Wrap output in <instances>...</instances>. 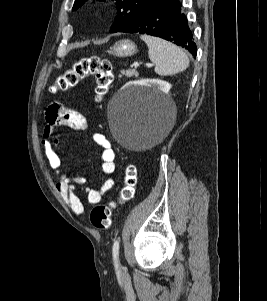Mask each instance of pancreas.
I'll return each mask as SVG.
<instances>
[{"label":"pancreas","instance_id":"obj_1","mask_svg":"<svg viewBox=\"0 0 267 301\" xmlns=\"http://www.w3.org/2000/svg\"><path fill=\"white\" fill-rule=\"evenodd\" d=\"M122 75H125L126 77L130 78L132 76H138V72L134 69L132 70H126V71H122ZM122 75H120V77H122Z\"/></svg>","mask_w":267,"mask_h":301}]
</instances>
